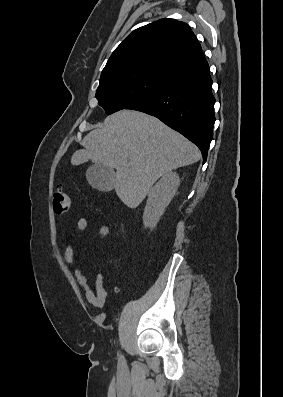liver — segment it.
Returning <instances> with one entry per match:
<instances>
[{
  "mask_svg": "<svg viewBox=\"0 0 283 397\" xmlns=\"http://www.w3.org/2000/svg\"><path fill=\"white\" fill-rule=\"evenodd\" d=\"M83 145L71 164L90 160L115 168V192L129 208L138 207L162 175L201 158L197 146L159 119L126 109L106 117Z\"/></svg>",
  "mask_w": 283,
  "mask_h": 397,
  "instance_id": "6515ba94",
  "label": "liver"
}]
</instances>
